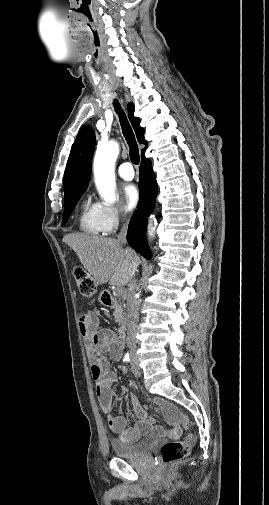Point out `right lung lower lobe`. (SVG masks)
Wrapping results in <instances>:
<instances>
[{
  "label": "right lung lower lobe",
  "instance_id": "98d812e1",
  "mask_svg": "<svg viewBox=\"0 0 269 505\" xmlns=\"http://www.w3.org/2000/svg\"><path fill=\"white\" fill-rule=\"evenodd\" d=\"M140 200L128 226L127 241L147 259L152 257L145 237L149 213L153 210L158 192L156 176L150 159L142 157L139 172Z\"/></svg>",
  "mask_w": 269,
  "mask_h": 505
}]
</instances>
